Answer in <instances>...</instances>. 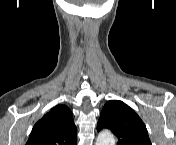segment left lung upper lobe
I'll return each mask as SVG.
<instances>
[{
	"mask_svg": "<svg viewBox=\"0 0 176 145\" xmlns=\"http://www.w3.org/2000/svg\"><path fill=\"white\" fill-rule=\"evenodd\" d=\"M110 129L118 138V145H151L145 124L124 102L108 101L101 112L97 130Z\"/></svg>",
	"mask_w": 176,
	"mask_h": 145,
	"instance_id": "obj_1",
	"label": "left lung upper lobe"
}]
</instances>
